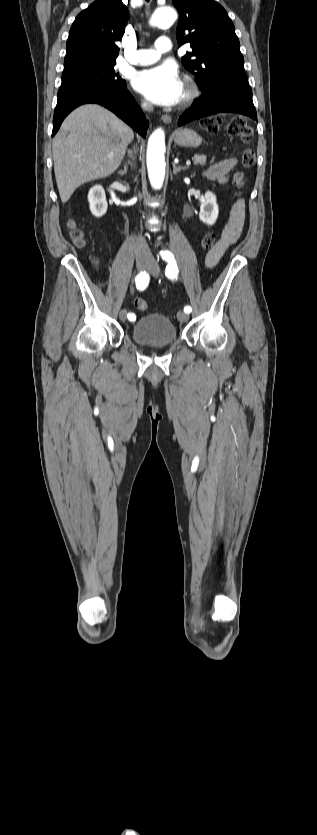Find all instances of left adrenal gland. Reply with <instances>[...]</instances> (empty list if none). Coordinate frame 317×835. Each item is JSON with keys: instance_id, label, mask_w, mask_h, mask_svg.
<instances>
[{"instance_id": "1", "label": "left adrenal gland", "mask_w": 317, "mask_h": 835, "mask_svg": "<svg viewBox=\"0 0 317 835\" xmlns=\"http://www.w3.org/2000/svg\"><path fill=\"white\" fill-rule=\"evenodd\" d=\"M172 165H173V173L174 174H178V172H180L181 170H186V168H187L186 166L185 167L176 166L175 163H172Z\"/></svg>"}]
</instances>
